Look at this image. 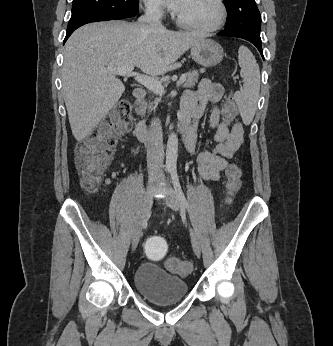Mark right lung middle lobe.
<instances>
[{
	"instance_id": "obj_1",
	"label": "right lung middle lobe",
	"mask_w": 333,
	"mask_h": 346,
	"mask_svg": "<svg viewBox=\"0 0 333 346\" xmlns=\"http://www.w3.org/2000/svg\"><path fill=\"white\" fill-rule=\"evenodd\" d=\"M138 10L139 0H73L67 28L88 17H133Z\"/></svg>"
}]
</instances>
